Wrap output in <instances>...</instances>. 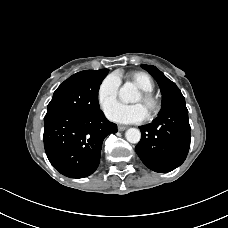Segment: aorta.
<instances>
[{
    "label": "aorta",
    "instance_id": "aorta-1",
    "mask_svg": "<svg viewBox=\"0 0 228 228\" xmlns=\"http://www.w3.org/2000/svg\"><path fill=\"white\" fill-rule=\"evenodd\" d=\"M137 94L136 86L131 82H126L120 89H119V98L124 103L134 102L135 97ZM125 137L128 142L136 144L141 139V133L139 129L130 128L126 131Z\"/></svg>",
    "mask_w": 228,
    "mask_h": 228
}]
</instances>
